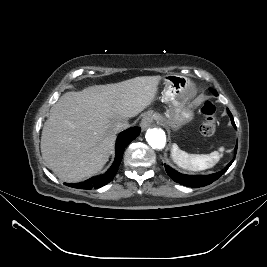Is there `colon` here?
I'll return each mask as SVG.
<instances>
[{
    "label": "colon",
    "instance_id": "obj_1",
    "mask_svg": "<svg viewBox=\"0 0 267 267\" xmlns=\"http://www.w3.org/2000/svg\"><path fill=\"white\" fill-rule=\"evenodd\" d=\"M216 107L211 101H206L202 107L205 120L200 126V132L204 137H212L216 133Z\"/></svg>",
    "mask_w": 267,
    "mask_h": 267
}]
</instances>
